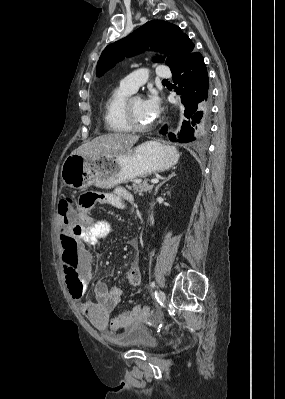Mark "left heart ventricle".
<instances>
[{"instance_id":"b2bd125f","label":"left heart ventricle","mask_w":285,"mask_h":399,"mask_svg":"<svg viewBox=\"0 0 285 399\" xmlns=\"http://www.w3.org/2000/svg\"><path fill=\"white\" fill-rule=\"evenodd\" d=\"M131 109L134 115L135 121L140 125H147L151 123V120L147 117L143 109L142 100L134 98L131 101Z\"/></svg>"}]
</instances>
